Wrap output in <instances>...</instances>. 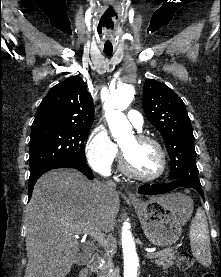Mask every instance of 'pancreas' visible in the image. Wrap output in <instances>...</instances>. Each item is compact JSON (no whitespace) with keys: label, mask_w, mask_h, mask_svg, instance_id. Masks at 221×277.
<instances>
[{"label":"pancreas","mask_w":221,"mask_h":277,"mask_svg":"<svg viewBox=\"0 0 221 277\" xmlns=\"http://www.w3.org/2000/svg\"><path fill=\"white\" fill-rule=\"evenodd\" d=\"M106 249L109 251V253L105 257V263L102 265V267L99 270L98 277H116V275L112 272L113 270L112 257L114 255V245L112 243H108V245L106 246ZM174 259H175V251L168 248L161 255L156 256L154 262L157 266L168 268L174 264V261H173Z\"/></svg>","instance_id":"cf45deb5"}]
</instances>
